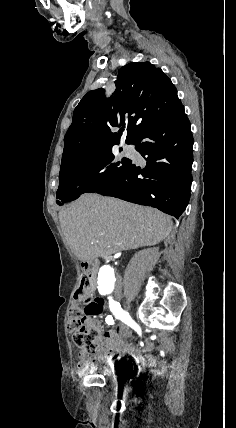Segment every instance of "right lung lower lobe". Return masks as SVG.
Listing matches in <instances>:
<instances>
[{"label": "right lung lower lobe", "mask_w": 236, "mask_h": 428, "mask_svg": "<svg viewBox=\"0 0 236 428\" xmlns=\"http://www.w3.org/2000/svg\"><path fill=\"white\" fill-rule=\"evenodd\" d=\"M132 144L146 160L145 168L130 164L96 193L179 218L189 202L193 163V137L184 106L146 126Z\"/></svg>", "instance_id": "obj_1"}]
</instances>
